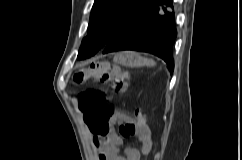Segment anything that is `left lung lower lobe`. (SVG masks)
Here are the masks:
<instances>
[{
	"label": "left lung lower lobe",
	"instance_id": "0a47b994",
	"mask_svg": "<svg viewBox=\"0 0 242 160\" xmlns=\"http://www.w3.org/2000/svg\"><path fill=\"white\" fill-rule=\"evenodd\" d=\"M173 0L152 1L135 19L104 47L103 53L135 50L162 58L173 72L172 46L175 29Z\"/></svg>",
	"mask_w": 242,
	"mask_h": 160
}]
</instances>
